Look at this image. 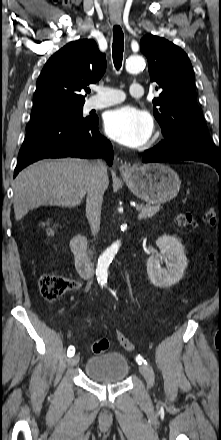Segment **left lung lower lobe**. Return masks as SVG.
Returning <instances> with one entry per match:
<instances>
[{"mask_svg":"<svg viewBox=\"0 0 221 440\" xmlns=\"http://www.w3.org/2000/svg\"><path fill=\"white\" fill-rule=\"evenodd\" d=\"M193 160L197 162H204L214 167L221 175V153H213L211 151L192 148V149H178L171 147L167 142L162 140L155 147L146 150L143 155V162H166V161H180Z\"/></svg>","mask_w":221,"mask_h":440,"instance_id":"left-lung-lower-lobe-1","label":"left lung lower lobe"}]
</instances>
